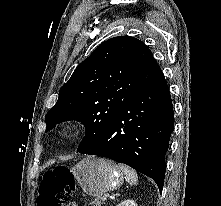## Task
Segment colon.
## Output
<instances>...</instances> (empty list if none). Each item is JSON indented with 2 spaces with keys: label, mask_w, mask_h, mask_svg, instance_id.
<instances>
[{
  "label": "colon",
  "mask_w": 221,
  "mask_h": 206,
  "mask_svg": "<svg viewBox=\"0 0 221 206\" xmlns=\"http://www.w3.org/2000/svg\"><path fill=\"white\" fill-rule=\"evenodd\" d=\"M74 191L72 172L66 167H58L48 172L43 179L37 206H67Z\"/></svg>",
  "instance_id": "colon-1"
}]
</instances>
